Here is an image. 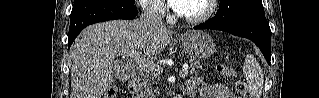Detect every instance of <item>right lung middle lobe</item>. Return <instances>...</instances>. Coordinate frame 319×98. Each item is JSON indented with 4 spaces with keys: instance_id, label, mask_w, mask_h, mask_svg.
<instances>
[{
    "instance_id": "obj_1",
    "label": "right lung middle lobe",
    "mask_w": 319,
    "mask_h": 98,
    "mask_svg": "<svg viewBox=\"0 0 319 98\" xmlns=\"http://www.w3.org/2000/svg\"><path fill=\"white\" fill-rule=\"evenodd\" d=\"M88 1H94V0H74V4L82 3V2H88ZM118 2H123L126 4L133 5L135 3V0H117Z\"/></svg>"
}]
</instances>
